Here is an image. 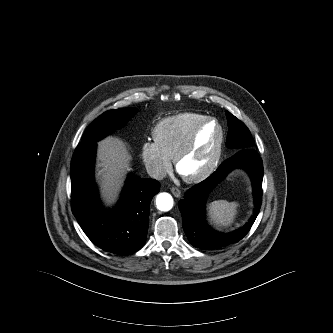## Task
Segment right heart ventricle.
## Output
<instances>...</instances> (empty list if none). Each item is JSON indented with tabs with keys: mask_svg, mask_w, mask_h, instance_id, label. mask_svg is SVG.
<instances>
[{
	"mask_svg": "<svg viewBox=\"0 0 333 333\" xmlns=\"http://www.w3.org/2000/svg\"><path fill=\"white\" fill-rule=\"evenodd\" d=\"M206 118V115L193 112L166 117L153 128L154 143L163 154L170 159H174L177 151L183 146L192 130Z\"/></svg>",
	"mask_w": 333,
	"mask_h": 333,
	"instance_id": "right-heart-ventricle-1",
	"label": "right heart ventricle"
}]
</instances>
